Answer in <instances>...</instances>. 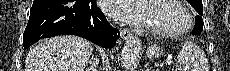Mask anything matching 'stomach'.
Segmentation results:
<instances>
[{"label":"stomach","instance_id":"1","mask_svg":"<svg viewBox=\"0 0 230 71\" xmlns=\"http://www.w3.org/2000/svg\"><path fill=\"white\" fill-rule=\"evenodd\" d=\"M147 54L151 58H159L163 56L164 53H163V50H161L159 46L151 45L147 49Z\"/></svg>","mask_w":230,"mask_h":71}]
</instances>
